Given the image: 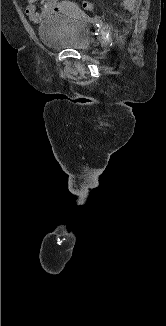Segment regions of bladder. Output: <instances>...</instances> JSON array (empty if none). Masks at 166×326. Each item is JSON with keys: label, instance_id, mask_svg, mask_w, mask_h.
Listing matches in <instances>:
<instances>
[{"label": "bladder", "instance_id": "obj_1", "mask_svg": "<svg viewBox=\"0 0 166 326\" xmlns=\"http://www.w3.org/2000/svg\"><path fill=\"white\" fill-rule=\"evenodd\" d=\"M42 43L50 49L86 50L91 43L88 25L79 17L52 14L38 25Z\"/></svg>", "mask_w": 166, "mask_h": 326}]
</instances>
